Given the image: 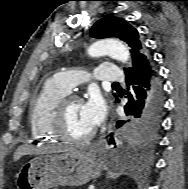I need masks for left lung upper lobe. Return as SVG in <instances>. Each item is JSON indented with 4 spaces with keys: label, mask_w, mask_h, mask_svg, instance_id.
Listing matches in <instances>:
<instances>
[{
    "label": "left lung upper lobe",
    "mask_w": 188,
    "mask_h": 189,
    "mask_svg": "<svg viewBox=\"0 0 188 189\" xmlns=\"http://www.w3.org/2000/svg\"><path fill=\"white\" fill-rule=\"evenodd\" d=\"M90 36L94 38L116 37L130 46V53L133 59V66L142 60H148L143 44L139 38L138 31L129 23L116 17L102 18L98 20L91 28ZM124 70H127L126 68ZM159 125L144 131H133L132 139L135 141H154Z\"/></svg>",
    "instance_id": "obj_1"
}]
</instances>
